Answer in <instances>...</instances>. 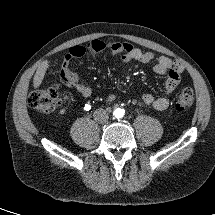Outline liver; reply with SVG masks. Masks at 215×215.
Masks as SVG:
<instances>
[{
  "label": "liver",
  "mask_w": 215,
  "mask_h": 215,
  "mask_svg": "<svg viewBox=\"0 0 215 215\" xmlns=\"http://www.w3.org/2000/svg\"><path fill=\"white\" fill-rule=\"evenodd\" d=\"M47 68H48V61H44L36 71V74L33 79V86L35 89L41 85Z\"/></svg>",
  "instance_id": "1"
}]
</instances>
